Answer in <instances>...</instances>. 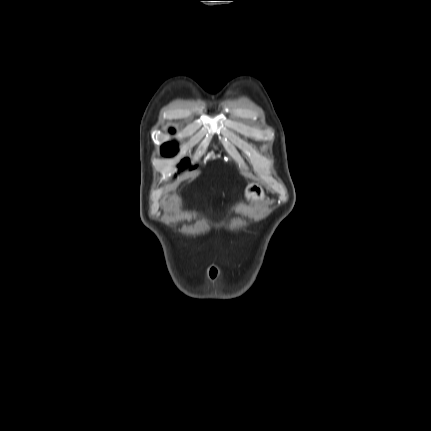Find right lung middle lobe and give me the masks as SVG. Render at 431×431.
Wrapping results in <instances>:
<instances>
[{
	"label": "right lung middle lobe",
	"instance_id": "1",
	"mask_svg": "<svg viewBox=\"0 0 431 431\" xmlns=\"http://www.w3.org/2000/svg\"><path fill=\"white\" fill-rule=\"evenodd\" d=\"M173 132V131H171ZM178 151V147L175 143H165L164 145H162L161 147V153L164 156H173L176 154V152ZM188 159H183L181 161V164L179 165L180 169H183L185 167V165L188 163ZM196 167H192L191 169H194Z\"/></svg>",
	"mask_w": 431,
	"mask_h": 431
}]
</instances>
